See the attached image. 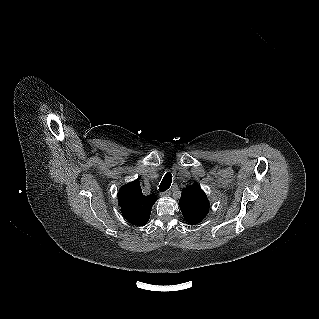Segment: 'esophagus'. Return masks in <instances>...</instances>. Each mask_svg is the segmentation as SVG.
<instances>
[{"mask_svg":"<svg viewBox=\"0 0 319 319\" xmlns=\"http://www.w3.org/2000/svg\"><path fill=\"white\" fill-rule=\"evenodd\" d=\"M170 195H171V191L170 190H167V191H164V192L160 193L161 197H167V196H170Z\"/></svg>","mask_w":319,"mask_h":319,"instance_id":"obj_1","label":"esophagus"}]
</instances>
